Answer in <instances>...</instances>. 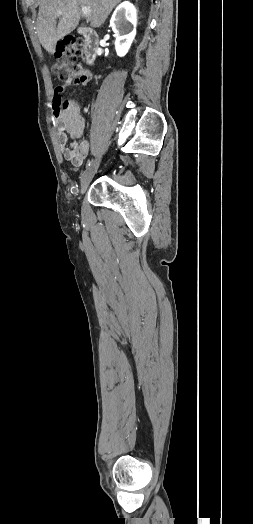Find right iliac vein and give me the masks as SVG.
Instances as JSON below:
<instances>
[{
	"instance_id": "63e3f726",
	"label": "right iliac vein",
	"mask_w": 253,
	"mask_h": 524,
	"mask_svg": "<svg viewBox=\"0 0 253 524\" xmlns=\"http://www.w3.org/2000/svg\"><path fill=\"white\" fill-rule=\"evenodd\" d=\"M100 164V158L95 159L91 165L85 170L81 177V194H84L93 179Z\"/></svg>"
}]
</instances>
